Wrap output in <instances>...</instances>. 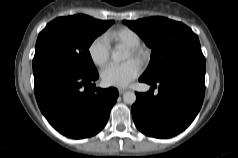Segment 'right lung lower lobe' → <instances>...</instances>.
I'll use <instances>...</instances> for the list:
<instances>
[{
  "instance_id": "1",
  "label": "right lung lower lobe",
  "mask_w": 238,
  "mask_h": 158,
  "mask_svg": "<svg viewBox=\"0 0 238 158\" xmlns=\"http://www.w3.org/2000/svg\"><path fill=\"white\" fill-rule=\"evenodd\" d=\"M32 65L37 103L57 131L82 139L95 135L106 125L118 91L96 88L98 72L87 76L53 59Z\"/></svg>"
}]
</instances>
